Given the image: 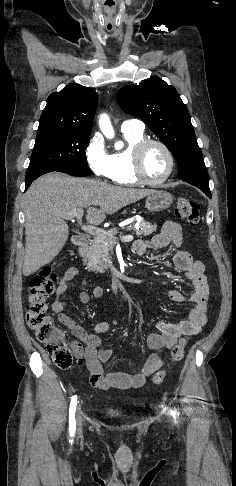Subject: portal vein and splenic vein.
I'll use <instances>...</instances> for the list:
<instances>
[{"label": "portal vein and splenic vein", "instance_id": "portal-vein-and-splenic-vein-1", "mask_svg": "<svg viewBox=\"0 0 236 486\" xmlns=\"http://www.w3.org/2000/svg\"><path fill=\"white\" fill-rule=\"evenodd\" d=\"M83 213H84L83 209H75V210H73L69 213L63 214L62 217L64 219H67V220L75 218L77 220L78 224L81 226V229L83 231H85L86 233L93 235L97 238L103 237L107 233L106 231H104L100 228H97L93 225H82ZM120 239L123 242H129V241H132L134 239V236L133 235H126V236L121 237Z\"/></svg>", "mask_w": 236, "mask_h": 486}]
</instances>
